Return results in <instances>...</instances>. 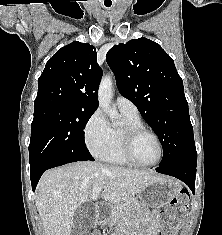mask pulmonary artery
<instances>
[{
    "mask_svg": "<svg viewBox=\"0 0 222 235\" xmlns=\"http://www.w3.org/2000/svg\"><path fill=\"white\" fill-rule=\"evenodd\" d=\"M116 106L121 112L129 113V114H138V109L136 105L131 102L129 99L119 95L115 100Z\"/></svg>",
    "mask_w": 222,
    "mask_h": 235,
    "instance_id": "pulmonary-artery-1",
    "label": "pulmonary artery"
}]
</instances>
